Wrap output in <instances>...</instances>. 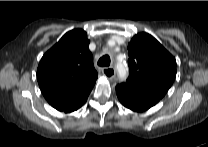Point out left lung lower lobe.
Listing matches in <instances>:
<instances>
[{
  "instance_id": "1",
  "label": "left lung lower lobe",
  "mask_w": 208,
  "mask_h": 147,
  "mask_svg": "<svg viewBox=\"0 0 208 147\" xmlns=\"http://www.w3.org/2000/svg\"><path fill=\"white\" fill-rule=\"evenodd\" d=\"M116 94L121 104L136 112L145 111L160 100V98L154 95L130 88L124 84L116 86Z\"/></svg>"
}]
</instances>
